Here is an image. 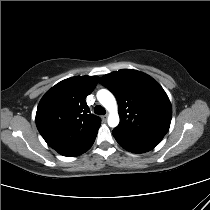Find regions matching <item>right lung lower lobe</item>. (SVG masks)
Segmentation results:
<instances>
[{
    "mask_svg": "<svg viewBox=\"0 0 210 210\" xmlns=\"http://www.w3.org/2000/svg\"><path fill=\"white\" fill-rule=\"evenodd\" d=\"M91 146H92V145H91ZM91 146H90V147H91ZM90 147H88V148H87L85 151H83L82 153H84V152H86L87 150H89ZM82 153H81V154H82ZM81 154H79V155H81Z\"/></svg>",
    "mask_w": 210,
    "mask_h": 210,
    "instance_id": "right-lung-lower-lobe-1",
    "label": "right lung lower lobe"
}]
</instances>
